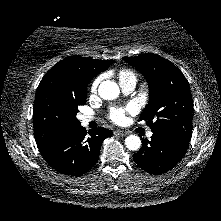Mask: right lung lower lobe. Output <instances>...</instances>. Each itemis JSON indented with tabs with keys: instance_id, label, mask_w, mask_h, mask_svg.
<instances>
[{
	"instance_id": "obj_1",
	"label": "right lung lower lobe",
	"mask_w": 221,
	"mask_h": 221,
	"mask_svg": "<svg viewBox=\"0 0 221 221\" xmlns=\"http://www.w3.org/2000/svg\"><path fill=\"white\" fill-rule=\"evenodd\" d=\"M110 136L112 131L103 127L89 131L88 135L79 125L39 148V151L57 172L81 176L96 164L101 144Z\"/></svg>"
}]
</instances>
